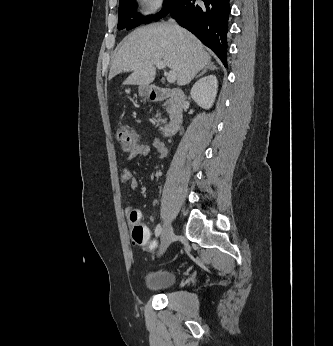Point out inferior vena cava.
<instances>
[{"label":"inferior vena cava","mask_w":333,"mask_h":346,"mask_svg":"<svg viewBox=\"0 0 333 346\" xmlns=\"http://www.w3.org/2000/svg\"><path fill=\"white\" fill-rule=\"evenodd\" d=\"M170 22H171V23H174V21H173V20H170ZM174 24H175V23H174Z\"/></svg>","instance_id":"obj_1"}]
</instances>
